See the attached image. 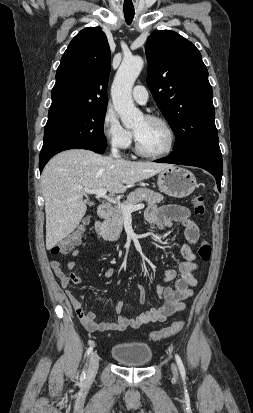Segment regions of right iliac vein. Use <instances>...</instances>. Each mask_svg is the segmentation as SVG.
<instances>
[{
  "mask_svg": "<svg viewBox=\"0 0 253 413\" xmlns=\"http://www.w3.org/2000/svg\"><path fill=\"white\" fill-rule=\"evenodd\" d=\"M98 366H99V356L97 352H93L91 354L90 361H89V367H88L87 376H86L87 381H90L95 377L97 370H98Z\"/></svg>",
  "mask_w": 253,
  "mask_h": 413,
  "instance_id": "1",
  "label": "right iliac vein"
}]
</instances>
